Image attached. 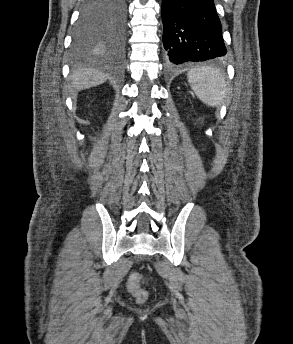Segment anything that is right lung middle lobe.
<instances>
[{"mask_svg":"<svg viewBox=\"0 0 293 344\" xmlns=\"http://www.w3.org/2000/svg\"><path fill=\"white\" fill-rule=\"evenodd\" d=\"M90 3L97 5L91 6ZM123 15V0H98L83 4L74 33L75 48L112 45L110 29L123 22Z\"/></svg>","mask_w":293,"mask_h":344,"instance_id":"obj_1","label":"right lung middle lobe"}]
</instances>
